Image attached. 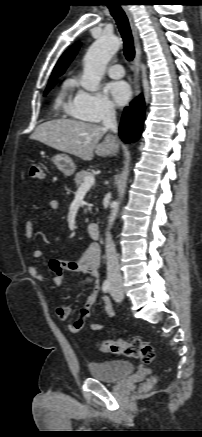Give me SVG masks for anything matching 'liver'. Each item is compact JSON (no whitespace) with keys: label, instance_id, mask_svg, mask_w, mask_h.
<instances>
[{"label":"liver","instance_id":"1","mask_svg":"<svg viewBox=\"0 0 202 437\" xmlns=\"http://www.w3.org/2000/svg\"><path fill=\"white\" fill-rule=\"evenodd\" d=\"M104 126L89 122L55 119L40 124L30 139L37 140L54 149L74 155L85 161L92 160L94 152L98 156H114L118 152V142L114 136L106 134Z\"/></svg>","mask_w":202,"mask_h":437}]
</instances>
